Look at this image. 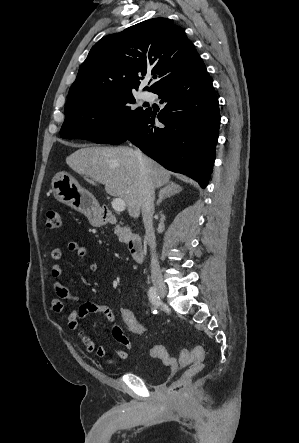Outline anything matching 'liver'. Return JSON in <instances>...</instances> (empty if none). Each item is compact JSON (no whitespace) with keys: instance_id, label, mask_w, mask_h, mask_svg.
<instances>
[{"instance_id":"6515ba94","label":"liver","mask_w":299,"mask_h":443,"mask_svg":"<svg viewBox=\"0 0 299 443\" xmlns=\"http://www.w3.org/2000/svg\"><path fill=\"white\" fill-rule=\"evenodd\" d=\"M143 160L155 187L169 182L170 171L147 156ZM66 164L78 174L103 184L109 195L125 201L131 217H139L140 164L132 148L84 146L69 155Z\"/></svg>"}]
</instances>
